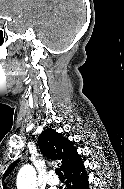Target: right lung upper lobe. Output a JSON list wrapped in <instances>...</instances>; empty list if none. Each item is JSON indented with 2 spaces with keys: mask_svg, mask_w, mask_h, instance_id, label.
Masks as SVG:
<instances>
[{
  "mask_svg": "<svg viewBox=\"0 0 124 189\" xmlns=\"http://www.w3.org/2000/svg\"><path fill=\"white\" fill-rule=\"evenodd\" d=\"M38 146L44 156L51 160H59L61 162L63 172H66L82 160L73 143L51 128H47L39 135ZM16 164L17 161L9 166L3 178L13 170ZM3 189H6L5 184L3 185Z\"/></svg>",
  "mask_w": 124,
  "mask_h": 189,
  "instance_id": "right-lung-upper-lobe-1",
  "label": "right lung upper lobe"
}]
</instances>
